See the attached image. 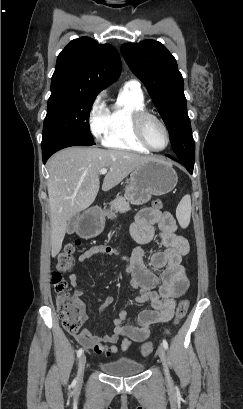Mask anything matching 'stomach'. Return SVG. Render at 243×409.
Instances as JSON below:
<instances>
[{"label":"stomach","instance_id":"obj_1","mask_svg":"<svg viewBox=\"0 0 243 409\" xmlns=\"http://www.w3.org/2000/svg\"><path fill=\"white\" fill-rule=\"evenodd\" d=\"M178 182V176L170 163L159 159L145 162L130 174V183L125 189V197L135 205L147 203L152 196H161L172 191ZM111 216L115 217L114 214ZM105 220L100 218L88 230H80L84 237L99 235L104 229Z\"/></svg>","mask_w":243,"mask_h":409}]
</instances>
